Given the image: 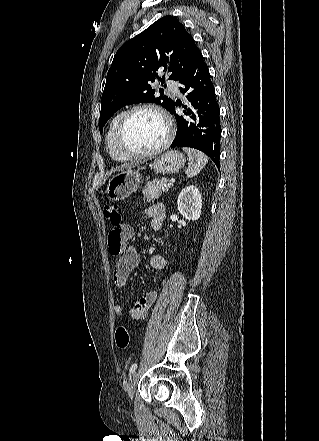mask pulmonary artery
I'll return each mask as SVG.
<instances>
[{
    "label": "pulmonary artery",
    "mask_w": 319,
    "mask_h": 441,
    "mask_svg": "<svg viewBox=\"0 0 319 441\" xmlns=\"http://www.w3.org/2000/svg\"><path fill=\"white\" fill-rule=\"evenodd\" d=\"M166 83L170 92H172L174 95L179 94L178 86L174 81L168 80Z\"/></svg>",
    "instance_id": "e3ab8cb5"
}]
</instances>
